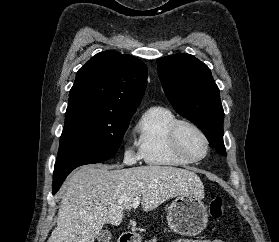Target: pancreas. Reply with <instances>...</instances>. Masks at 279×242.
<instances>
[{
	"label": "pancreas",
	"instance_id": "pancreas-1",
	"mask_svg": "<svg viewBox=\"0 0 279 242\" xmlns=\"http://www.w3.org/2000/svg\"><path fill=\"white\" fill-rule=\"evenodd\" d=\"M157 239L156 238H152L151 240H148V242H156ZM147 242V241H146Z\"/></svg>",
	"mask_w": 279,
	"mask_h": 242
}]
</instances>
